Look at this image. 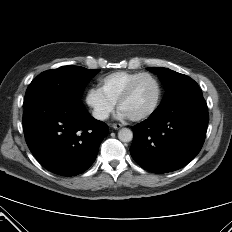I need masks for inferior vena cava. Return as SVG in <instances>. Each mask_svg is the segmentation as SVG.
Masks as SVG:
<instances>
[{"label": "inferior vena cava", "instance_id": "1", "mask_svg": "<svg viewBox=\"0 0 232 232\" xmlns=\"http://www.w3.org/2000/svg\"><path fill=\"white\" fill-rule=\"evenodd\" d=\"M92 114H93V117L98 120H105L109 116L108 112L101 111V110H94Z\"/></svg>", "mask_w": 232, "mask_h": 232}]
</instances>
